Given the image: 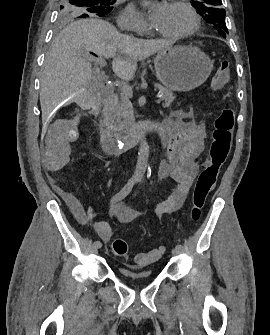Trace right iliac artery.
Returning <instances> with one entry per match:
<instances>
[{
  "instance_id": "1",
  "label": "right iliac artery",
  "mask_w": 270,
  "mask_h": 335,
  "mask_svg": "<svg viewBox=\"0 0 270 335\" xmlns=\"http://www.w3.org/2000/svg\"><path fill=\"white\" fill-rule=\"evenodd\" d=\"M135 184V180L134 179H130L127 184L122 188V190L120 192H118L116 195H114L111 199V204H114L122 199H124L132 190L133 186ZM94 246L101 248L102 244L100 241H95L93 243Z\"/></svg>"
}]
</instances>
